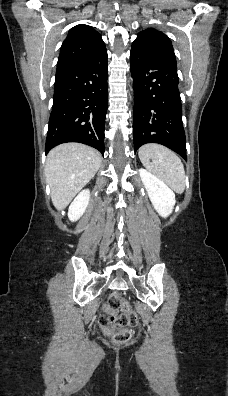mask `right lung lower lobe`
<instances>
[{
	"label": "right lung lower lobe",
	"instance_id": "1",
	"mask_svg": "<svg viewBox=\"0 0 228 396\" xmlns=\"http://www.w3.org/2000/svg\"><path fill=\"white\" fill-rule=\"evenodd\" d=\"M107 50L57 68L45 152L66 142L92 146L104 155L107 112Z\"/></svg>",
	"mask_w": 228,
	"mask_h": 396
}]
</instances>
